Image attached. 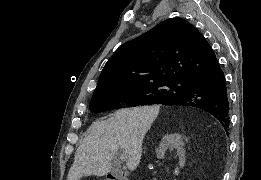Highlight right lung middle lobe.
<instances>
[{
	"instance_id": "1",
	"label": "right lung middle lobe",
	"mask_w": 261,
	"mask_h": 180,
	"mask_svg": "<svg viewBox=\"0 0 261 180\" xmlns=\"http://www.w3.org/2000/svg\"><path fill=\"white\" fill-rule=\"evenodd\" d=\"M188 81L161 80L153 83L137 85L93 98L90 111L99 113L128 101L131 106L163 104L183 94Z\"/></svg>"
}]
</instances>
